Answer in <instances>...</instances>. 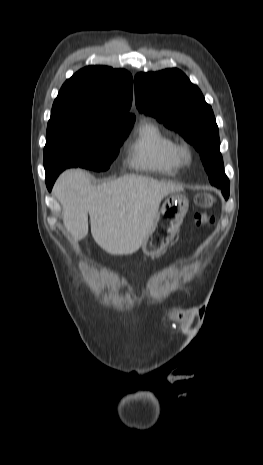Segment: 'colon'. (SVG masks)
Returning a JSON list of instances; mask_svg holds the SVG:
<instances>
[{
	"label": "colon",
	"mask_w": 263,
	"mask_h": 465,
	"mask_svg": "<svg viewBox=\"0 0 263 465\" xmlns=\"http://www.w3.org/2000/svg\"><path fill=\"white\" fill-rule=\"evenodd\" d=\"M215 202V198L207 193L198 194L195 198V203L202 211L197 212L194 216L196 226L204 227L213 224L214 218L206 212Z\"/></svg>",
	"instance_id": "obj_1"
}]
</instances>
